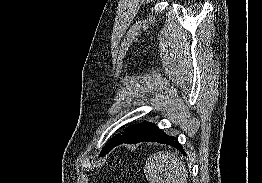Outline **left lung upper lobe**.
<instances>
[{
    "label": "left lung upper lobe",
    "instance_id": "5c2ea615",
    "mask_svg": "<svg viewBox=\"0 0 262 183\" xmlns=\"http://www.w3.org/2000/svg\"><path fill=\"white\" fill-rule=\"evenodd\" d=\"M145 122H143L142 124L139 125H133L128 127L127 129H125L123 135L121 134H117L115 135L113 138H111L107 144L105 145V147L103 148V150L101 151L99 156H104L107 152V150L109 149V147L111 146V144H113L115 141L121 139V138H126L129 136H132L133 134H135L139 129H141L144 126Z\"/></svg>",
    "mask_w": 262,
    "mask_h": 183
}]
</instances>
